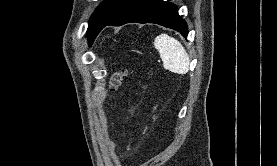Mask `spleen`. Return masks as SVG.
I'll return each instance as SVG.
<instances>
[{"instance_id":"obj_1","label":"spleen","mask_w":277,"mask_h":166,"mask_svg":"<svg viewBox=\"0 0 277 166\" xmlns=\"http://www.w3.org/2000/svg\"><path fill=\"white\" fill-rule=\"evenodd\" d=\"M154 47L159 51L164 67L177 74H186L189 70V56L182 44L166 34L158 35Z\"/></svg>"}]
</instances>
